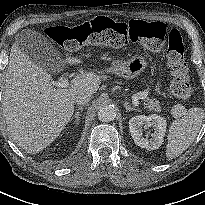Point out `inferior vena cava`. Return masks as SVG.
<instances>
[{"label":"inferior vena cava","mask_w":205,"mask_h":205,"mask_svg":"<svg viewBox=\"0 0 205 205\" xmlns=\"http://www.w3.org/2000/svg\"><path fill=\"white\" fill-rule=\"evenodd\" d=\"M92 99L90 92H82L75 97V103L78 105H85Z\"/></svg>","instance_id":"1"}]
</instances>
